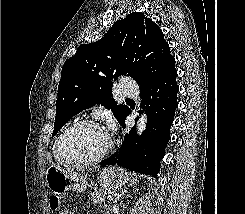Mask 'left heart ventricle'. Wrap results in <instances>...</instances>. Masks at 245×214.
<instances>
[{"label":"left heart ventricle","instance_id":"1","mask_svg":"<svg viewBox=\"0 0 245 214\" xmlns=\"http://www.w3.org/2000/svg\"><path fill=\"white\" fill-rule=\"evenodd\" d=\"M108 142L105 131L85 125L74 129L66 136L60 151L67 158H91L101 153Z\"/></svg>","mask_w":245,"mask_h":214}]
</instances>
